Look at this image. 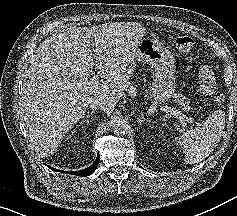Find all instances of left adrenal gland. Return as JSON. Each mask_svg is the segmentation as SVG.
Here are the masks:
<instances>
[{
  "label": "left adrenal gland",
  "mask_w": 237,
  "mask_h": 216,
  "mask_svg": "<svg viewBox=\"0 0 237 216\" xmlns=\"http://www.w3.org/2000/svg\"><path fill=\"white\" fill-rule=\"evenodd\" d=\"M143 119H144V114L143 112H141L138 118L136 119L138 126H142L144 124Z\"/></svg>",
  "instance_id": "left-adrenal-gland-1"
}]
</instances>
